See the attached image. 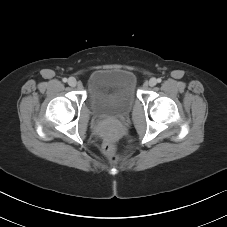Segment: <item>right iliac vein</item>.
Segmentation results:
<instances>
[{
    "label": "right iliac vein",
    "mask_w": 227,
    "mask_h": 227,
    "mask_svg": "<svg viewBox=\"0 0 227 227\" xmlns=\"http://www.w3.org/2000/svg\"><path fill=\"white\" fill-rule=\"evenodd\" d=\"M68 84L71 86V87H75L77 85V80L74 78V77H70L68 79Z\"/></svg>",
    "instance_id": "63e3f726"
}]
</instances>
